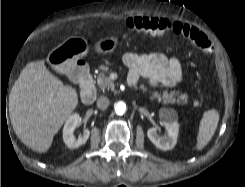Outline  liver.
<instances>
[{"label": "liver", "mask_w": 245, "mask_h": 187, "mask_svg": "<svg viewBox=\"0 0 245 187\" xmlns=\"http://www.w3.org/2000/svg\"><path fill=\"white\" fill-rule=\"evenodd\" d=\"M78 105L74 88L46 68L43 60L28 63L9 95V114L17 137L27 147L45 153L55 134Z\"/></svg>", "instance_id": "1"}]
</instances>
